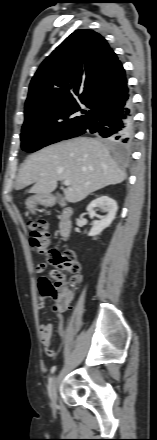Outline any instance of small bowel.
<instances>
[{"instance_id":"small-bowel-1","label":"small bowel","mask_w":157,"mask_h":440,"mask_svg":"<svg viewBox=\"0 0 157 440\" xmlns=\"http://www.w3.org/2000/svg\"><path fill=\"white\" fill-rule=\"evenodd\" d=\"M47 268V265L45 263H39L36 267V270L38 273H43ZM45 307V303L43 300H41L37 308L38 310H42ZM59 334L63 335V319L61 316H59ZM52 331L53 326L52 324H42L39 327V334H40V340L43 345L44 351L46 355L50 358L55 357V351L51 348V339H52Z\"/></svg>"}]
</instances>
